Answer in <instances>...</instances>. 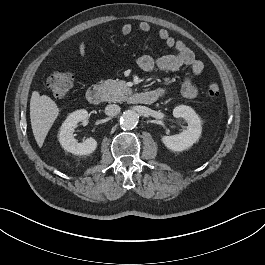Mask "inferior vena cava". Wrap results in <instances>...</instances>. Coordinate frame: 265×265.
<instances>
[{
	"mask_svg": "<svg viewBox=\"0 0 265 265\" xmlns=\"http://www.w3.org/2000/svg\"><path fill=\"white\" fill-rule=\"evenodd\" d=\"M120 107L116 104H110L105 107V114L108 116H115L119 114Z\"/></svg>",
	"mask_w": 265,
	"mask_h": 265,
	"instance_id": "inferior-vena-cava-1",
	"label": "inferior vena cava"
}]
</instances>
